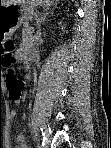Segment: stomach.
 <instances>
[{
	"label": "stomach",
	"mask_w": 111,
	"mask_h": 148,
	"mask_svg": "<svg viewBox=\"0 0 111 148\" xmlns=\"http://www.w3.org/2000/svg\"><path fill=\"white\" fill-rule=\"evenodd\" d=\"M36 3L37 0H23L20 4L0 6V43L4 44L10 39L20 27L27 6Z\"/></svg>",
	"instance_id": "stomach-1"
}]
</instances>
